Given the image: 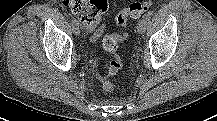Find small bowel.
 Instances as JSON below:
<instances>
[{"instance_id":"obj_1","label":"small bowel","mask_w":217,"mask_h":121,"mask_svg":"<svg viewBox=\"0 0 217 121\" xmlns=\"http://www.w3.org/2000/svg\"><path fill=\"white\" fill-rule=\"evenodd\" d=\"M101 33H102V29H101L100 32H96V33L94 34L93 39L98 38V37L101 35Z\"/></svg>"}]
</instances>
